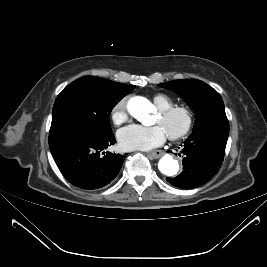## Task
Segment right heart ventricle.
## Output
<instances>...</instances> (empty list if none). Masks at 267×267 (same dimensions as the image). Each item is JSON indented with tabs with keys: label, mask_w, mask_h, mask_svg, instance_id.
<instances>
[{
	"label": "right heart ventricle",
	"mask_w": 267,
	"mask_h": 267,
	"mask_svg": "<svg viewBox=\"0 0 267 267\" xmlns=\"http://www.w3.org/2000/svg\"><path fill=\"white\" fill-rule=\"evenodd\" d=\"M153 101L159 110H164L173 106L172 100L164 94H156L153 97Z\"/></svg>",
	"instance_id": "1"
}]
</instances>
